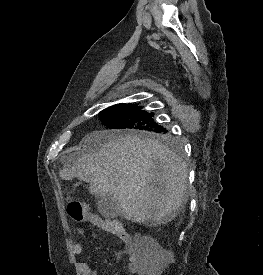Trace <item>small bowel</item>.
Masks as SVG:
<instances>
[{
	"mask_svg": "<svg viewBox=\"0 0 263 275\" xmlns=\"http://www.w3.org/2000/svg\"><path fill=\"white\" fill-rule=\"evenodd\" d=\"M109 222L110 220H105L100 217H97V221L93 222V224L105 230ZM84 240L95 241L96 238L92 235L81 232L79 239L76 242H74L72 247L73 254L76 257H79L83 252L82 242ZM125 254L128 255V270L131 273L143 275L145 273L146 259L143 257L142 248L138 245L130 246L126 248ZM78 267L82 275H98L97 272L86 262H78Z\"/></svg>",
	"mask_w": 263,
	"mask_h": 275,
	"instance_id": "c3829d8e",
	"label": "small bowel"
}]
</instances>
